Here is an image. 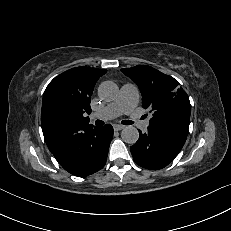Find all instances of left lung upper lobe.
<instances>
[{"instance_id": "obj_1", "label": "left lung upper lobe", "mask_w": 231, "mask_h": 231, "mask_svg": "<svg viewBox=\"0 0 231 231\" xmlns=\"http://www.w3.org/2000/svg\"><path fill=\"white\" fill-rule=\"evenodd\" d=\"M121 71L138 85L143 108L153 113L149 125L188 134L191 105L176 79L146 65Z\"/></svg>"}]
</instances>
